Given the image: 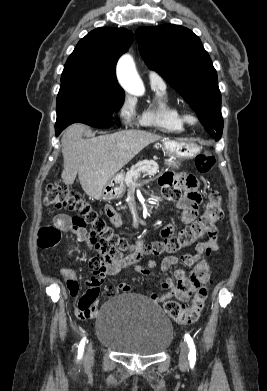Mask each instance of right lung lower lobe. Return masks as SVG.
Here are the masks:
<instances>
[{"mask_svg":"<svg viewBox=\"0 0 267 391\" xmlns=\"http://www.w3.org/2000/svg\"><path fill=\"white\" fill-rule=\"evenodd\" d=\"M60 132L58 130H56V135H58Z\"/></svg>","mask_w":267,"mask_h":391,"instance_id":"right-lung-lower-lobe-1","label":"right lung lower lobe"}]
</instances>
